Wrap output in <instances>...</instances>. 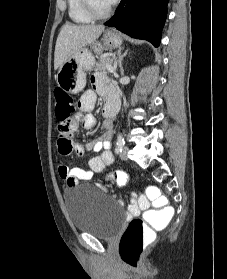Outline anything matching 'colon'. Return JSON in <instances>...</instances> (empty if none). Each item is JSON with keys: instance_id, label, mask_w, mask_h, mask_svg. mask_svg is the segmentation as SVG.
Wrapping results in <instances>:
<instances>
[{"instance_id": "5ec220e1", "label": "colon", "mask_w": 227, "mask_h": 279, "mask_svg": "<svg viewBox=\"0 0 227 279\" xmlns=\"http://www.w3.org/2000/svg\"><path fill=\"white\" fill-rule=\"evenodd\" d=\"M57 95L56 118L61 130L68 133L73 128L75 102L65 91L59 90ZM109 177L118 186H124L129 182V175L123 170L115 171ZM148 196L153 204L160 207L151 208L145 211L142 217L132 219L121 240V259L130 266L138 264L143 251V243L152 237L154 229L160 227L165 221L172 220L175 214L171 206H163L167 202V196L159 189L149 185Z\"/></svg>"}]
</instances>
